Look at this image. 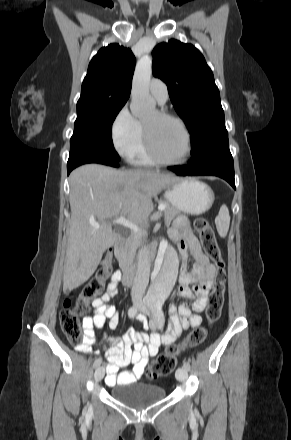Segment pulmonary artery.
<instances>
[{
    "label": "pulmonary artery",
    "mask_w": 291,
    "mask_h": 440,
    "mask_svg": "<svg viewBox=\"0 0 291 440\" xmlns=\"http://www.w3.org/2000/svg\"><path fill=\"white\" fill-rule=\"evenodd\" d=\"M150 92L160 104H164L168 99V89L164 81L153 78L150 82Z\"/></svg>",
    "instance_id": "e3ab8cb5"
}]
</instances>
